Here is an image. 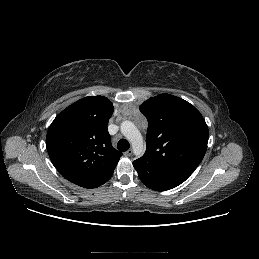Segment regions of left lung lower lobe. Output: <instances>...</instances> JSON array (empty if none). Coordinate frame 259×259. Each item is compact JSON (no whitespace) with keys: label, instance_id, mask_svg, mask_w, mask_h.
I'll list each match as a JSON object with an SVG mask.
<instances>
[{"label":"left lung lower lobe","instance_id":"left-lung-lower-lobe-1","mask_svg":"<svg viewBox=\"0 0 259 259\" xmlns=\"http://www.w3.org/2000/svg\"><path fill=\"white\" fill-rule=\"evenodd\" d=\"M140 180L150 189L165 191L183 183L189 176L160 165L137 159L133 162Z\"/></svg>","mask_w":259,"mask_h":259}]
</instances>
